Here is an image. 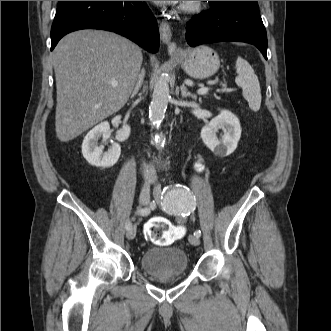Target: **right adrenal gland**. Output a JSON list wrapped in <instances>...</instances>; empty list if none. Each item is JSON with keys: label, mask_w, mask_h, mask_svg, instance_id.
<instances>
[{"label": "right adrenal gland", "mask_w": 331, "mask_h": 331, "mask_svg": "<svg viewBox=\"0 0 331 331\" xmlns=\"http://www.w3.org/2000/svg\"><path fill=\"white\" fill-rule=\"evenodd\" d=\"M144 75H145L144 70H142L138 76V80H137V82L134 86L133 92L130 96L131 99L134 98L138 94L139 90L141 89L143 81H144Z\"/></svg>", "instance_id": "right-adrenal-gland-1"}]
</instances>
